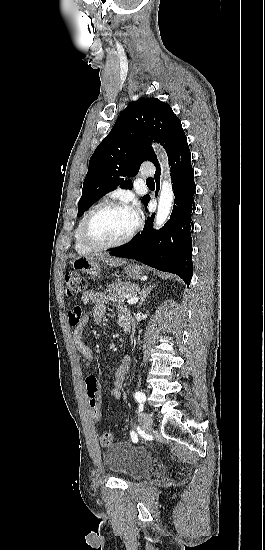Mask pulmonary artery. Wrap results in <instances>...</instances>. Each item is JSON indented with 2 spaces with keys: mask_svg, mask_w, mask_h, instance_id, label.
Returning a JSON list of instances; mask_svg holds the SVG:
<instances>
[{
  "mask_svg": "<svg viewBox=\"0 0 265 550\" xmlns=\"http://www.w3.org/2000/svg\"><path fill=\"white\" fill-rule=\"evenodd\" d=\"M141 174H142V176H150V175L153 174V170L143 169Z\"/></svg>",
  "mask_w": 265,
  "mask_h": 550,
  "instance_id": "pulmonary-artery-1",
  "label": "pulmonary artery"
}]
</instances>
